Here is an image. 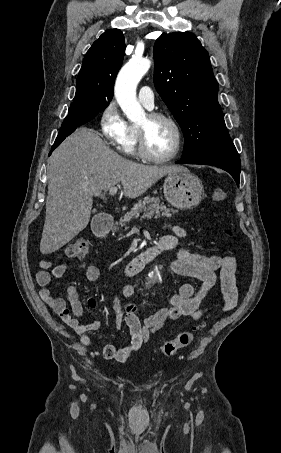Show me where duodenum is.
<instances>
[{"label":"duodenum","mask_w":281,"mask_h":453,"mask_svg":"<svg viewBox=\"0 0 281 453\" xmlns=\"http://www.w3.org/2000/svg\"><path fill=\"white\" fill-rule=\"evenodd\" d=\"M113 221L109 217H99L94 221L93 231L99 237L105 236L111 229ZM169 249V244L164 238L159 239L152 246L138 254L126 268L128 275H134L139 272L149 261L155 258L161 252Z\"/></svg>","instance_id":"410a0bca"}]
</instances>
